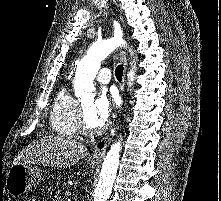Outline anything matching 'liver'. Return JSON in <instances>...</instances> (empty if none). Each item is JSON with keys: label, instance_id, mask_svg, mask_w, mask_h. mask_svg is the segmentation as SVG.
<instances>
[{"label": "liver", "instance_id": "liver-1", "mask_svg": "<svg viewBox=\"0 0 221 201\" xmlns=\"http://www.w3.org/2000/svg\"><path fill=\"white\" fill-rule=\"evenodd\" d=\"M88 149L71 138L45 136L30 143L14 160L16 163L68 168L87 155Z\"/></svg>", "mask_w": 221, "mask_h": 201}]
</instances>
